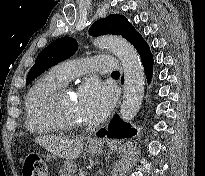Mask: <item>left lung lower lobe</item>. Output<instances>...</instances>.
<instances>
[{
  "mask_svg": "<svg viewBox=\"0 0 205 176\" xmlns=\"http://www.w3.org/2000/svg\"><path fill=\"white\" fill-rule=\"evenodd\" d=\"M128 41L136 48L137 52L139 53L147 81L150 83L152 77L153 57L148 44L136 30L132 31ZM136 132L137 131L134 128H131L129 123H125L116 114L109 126L107 128L101 129L97 133V136L124 139L134 136Z\"/></svg>",
  "mask_w": 205,
  "mask_h": 176,
  "instance_id": "0a47b994",
  "label": "left lung lower lobe"
}]
</instances>
